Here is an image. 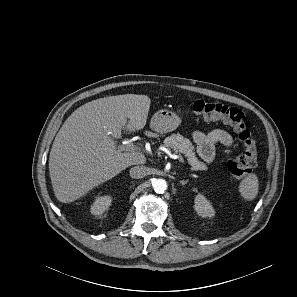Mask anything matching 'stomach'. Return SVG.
<instances>
[{"label": "stomach", "instance_id": "obj_1", "mask_svg": "<svg viewBox=\"0 0 297 297\" xmlns=\"http://www.w3.org/2000/svg\"><path fill=\"white\" fill-rule=\"evenodd\" d=\"M181 123L178 114L169 110H159L156 112L150 122V127L154 131L152 135L168 133L175 130Z\"/></svg>", "mask_w": 297, "mask_h": 297}]
</instances>
